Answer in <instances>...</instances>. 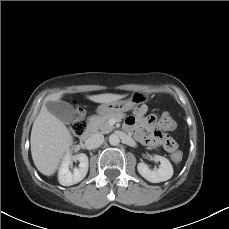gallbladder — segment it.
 I'll return each instance as SVG.
<instances>
[{
    "label": "gallbladder",
    "mask_w": 229,
    "mask_h": 229,
    "mask_svg": "<svg viewBox=\"0 0 229 229\" xmlns=\"http://www.w3.org/2000/svg\"><path fill=\"white\" fill-rule=\"evenodd\" d=\"M47 109L58 119L66 124H70L75 119V111L71 104L64 101H50Z\"/></svg>",
    "instance_id": "bac80fb5"
}]
</instances>
